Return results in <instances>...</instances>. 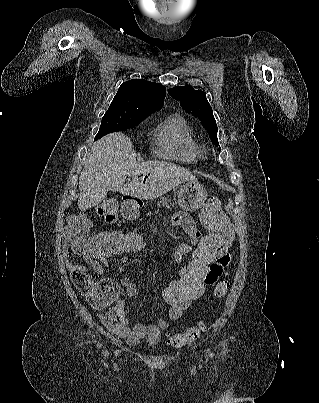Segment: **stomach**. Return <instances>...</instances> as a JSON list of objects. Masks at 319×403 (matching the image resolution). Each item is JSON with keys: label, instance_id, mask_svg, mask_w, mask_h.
<instances>
[{"label": "stomach", "instance_id": "obj_1", "mask_svg": "<svg viewBox=\"0 0 319 403\" xmlns=\"http://www.w3.org/2000/svg\"><path fill=\"white\" fill-rule=\"evenodd\" d=\"M206 198L207 192L204 186L197 180H190L181 186L178 204L183 210L194 212L204 204Z\"/></svg>", "mask_w": 319, "mask_h": 403}]
</instances>
